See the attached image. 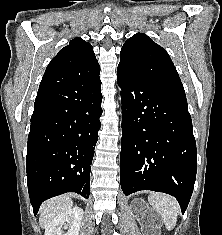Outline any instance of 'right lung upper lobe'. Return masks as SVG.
Here are the masks:
<instances>
[{
    "label": "right lung upper lobe",
    "instance_id": "cb5924a9",
    "mask_svg": "<svg viewBox=\"0 0 222 235\" xmlns=\"http://www.w3.org/2000/svg\"><path fill=\"white\" fill-rule=\"evenodd\" d=\"M99 73L100 67L92 45L81 38H75L50 61L41 83H70Z\"/></svg>",
    "mask_w": 222,
    "mask_h": 235
}]
</instances>
